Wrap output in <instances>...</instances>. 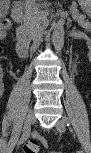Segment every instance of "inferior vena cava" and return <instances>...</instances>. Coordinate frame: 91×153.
<instances>
[{"mask_svg": "<svg viewBox=\"0 0 91 153\" xmlns=\"http://www.w3.org/2000/svg\"><path fill=\"white\" fill-rule=\"evenodd\" d=\"M40 22H43V15H41V16L39 15V23ZM42 30H43V28L40 27L39 24H38L37 28L34 30L33 35H32L33 48L41 47V44H39V43H40L41 37H42Z\"/></svg>", "mask_w": 91, "mask_h": 153, "instance_id": "602c4592", "label": "inferior vena cava"}]
</instances>
